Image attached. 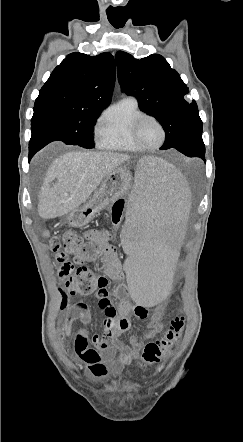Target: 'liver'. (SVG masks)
<instances>
[{"label": "liver", "instance_id": "6515ba94", "mask_svg": "<svg viewBox=\"0 0 243 442\" xmlns=\"http://www.w3.org/2000/svg\"><path fill=\"white\" fill-rule=\"evenodd\" d=\"M129 159L128 155L121 153L89 150L69 152L56 158L41 188L39 216L53 219L72 212L111 172ZM54 179L56 183L51 187L50 182Z\"/></svg>", "mask_w": 243, "mask_h": 442}]
</instances>
